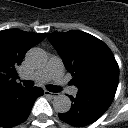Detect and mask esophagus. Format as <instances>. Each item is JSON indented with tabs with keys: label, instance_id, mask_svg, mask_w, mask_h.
<instances>
[{
	"label": "esophagus",
	"instance_id": "esophagus-1",
	"mask_svg": "<svg viewBox=\"0 0 128 128\" xmlns=\"http://www.w3.org/2000/svg\"><path fill=\"white\" fill-rule=\"evenodd\" d=\"M44 94L46 96L51 97V98H55L57 96V93H53V92H50V91H47V90L44 91Z\"/></svg>",
	"mask_w": 128,
	"mask_h": 128
}]
</instances>
